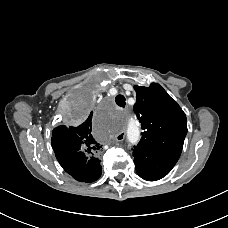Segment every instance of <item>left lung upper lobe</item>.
<instances>
[{
    "instance_id": "obj_1",
    "label": "left lung upper lobe",
    "mask_w": 228,
    "mask_h": 228,
    "mask_svg": "<svg viewBox=\"0 0 228 228\" xmlns=\"http://www.w3.org/2000/svg\"><path fill=\"white\" fill-rule=\"evenodd\" d=\"M134 89V112L144 130L139 144L134 148L180 156L187 134L185 113L157 83L149 87L136 85Z\"/></svg>"
}]
</instances>
